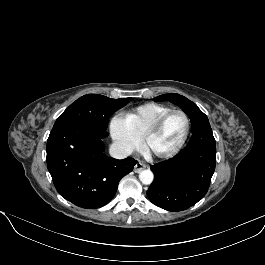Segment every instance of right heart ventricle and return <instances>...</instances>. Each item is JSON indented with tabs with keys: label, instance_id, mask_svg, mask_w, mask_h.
Wrapping results in <instances>:
<instances>
[{
	"label": "right heart ventricle",
	"instance_id": "obj_1",
	"mask_svg": "<svg viewBox=\"0 0 265 265\" xmlns=\"http://www.w3.org/2000/svg\"><path fill=\"white\" fill-rule=\"evenodd\" d=\"M169 110L168 106L162 104L146 103L123 113V119L129 129L138 138H142L153 122Z\"/></svg>",
	"mask_w": 265,
	"mask_h": 265
}]
</instances>
